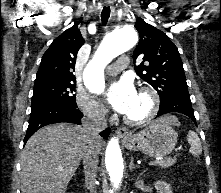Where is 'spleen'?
<instances>
[{
  "label": "spleen",
  "mask_w": 221,
  "mask_h": 193,
  "mask_svg": "<svg viewBox=\"0 0 221 193\" xmlns=\"http://www.w3.org/2000/svg\"><path fill=\"white\" fill-rule=\"evenodd\" d=\"M187 141L191 146L190 153L194 156H199L202 153V145L198 135L193 131H189Z\"/></svg>",
  "instance_id": "3e777b00"
}]
</instances>
